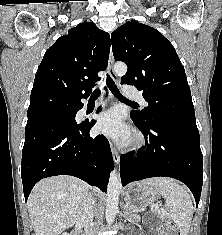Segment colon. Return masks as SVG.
I'll return each instance as SVG.
<instances>
[{
	"instance_id": "colon-1",
	"label": "colon",
	"mask_w": 222,
	"mask_h": 235,
	"mask_svg": "<svg viewBox=\"0 0 222 235\" xmlns=\"http://www.w3.org/2000/svg\"><path fill=\"white\" fill-rule=\"evenodd\" d=\"M160 235H181V233L177 229L176 224L172 220H168L162 226Z\"/></svg>"
}]
</instances>
